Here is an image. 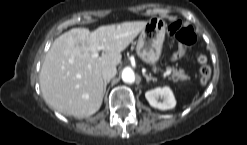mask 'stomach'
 <instances>
[{"mask_svg": "<svg viewBox=\"0 0 247 145\" xmlns=\"http://www.w3.org/2000/svg\"><path fill=\"white\" fill-rule=\"evenodd\" d=\"M166 33V23L161 18H151L141 31L136 52L146 64L154 65L162 54L163 41Z\"/></svg>", "mask_w": 247, "mask_h": 145, "instance_id": "0dacf381", "label": "stomach"}]
</instances>
